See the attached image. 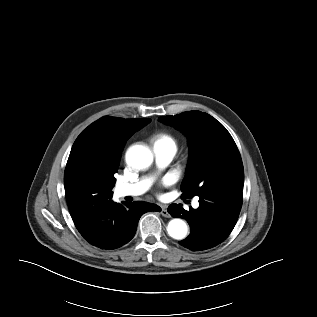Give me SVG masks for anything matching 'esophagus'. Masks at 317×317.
Instances as JSON below:
<instances>
[{
	"instance_id": "obj_1",
	"label": "esophagus",
	"mask_w": 317,
	"mask_h": 317,
	"mask_svg": "<svg viewBox=\"0 0 317 317\" xmlns=\"http://www.w3.org/2000/svg\"><path fill=\"white\" fill-rule=\"evenodd\" d=\"M161 215L164 216V217H167V218L170 217V214L167 211V206L166 205H162L161 206Z\"/></svg>"
}]
</instances>
